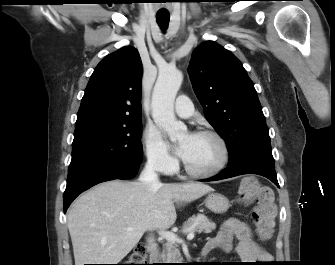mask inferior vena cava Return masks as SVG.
I'll list each match as a JSON object with an SVG mask.
<instances>
[{
    "instance_id": "1",
    "label": "inferior vena cava",
    "mask_w": 335,
    "mask_h": 265,
    "mask_svg": "<svg viewBox=\"0 0 335 265\" xmlns=\"http://www.w3.org/2000/svg\"><path fill=\"white\" fill-rule=\"evenodd\" d=\"M139 180L140 182L148 185L149 187H158L161 185L153 161L148 160V162L145 165V168L140 174ZM147 242H148V249H150V251L153 252L155 250L154 238L149 237Z\"/></svg>"
}]
</instances>
